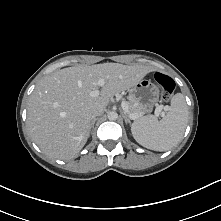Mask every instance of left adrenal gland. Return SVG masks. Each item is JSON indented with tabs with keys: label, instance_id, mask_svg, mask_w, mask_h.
<instances>
[{
	"label": "left adrenal gland",
	"instance_id": "1",
	"mask_svg": "<svg viewBox=\"0 0 221 221\" xmlns=\"http://www.w3.org/2000/svg\"><path fill=\"white\" fill-rule=\"evenodd\" d=\"M124 119L126 124H130V119L127 117V115L124 113Z\"/></svg>",
	"mask_w": 221,
	"mask_h": 221
}]
</instances>
